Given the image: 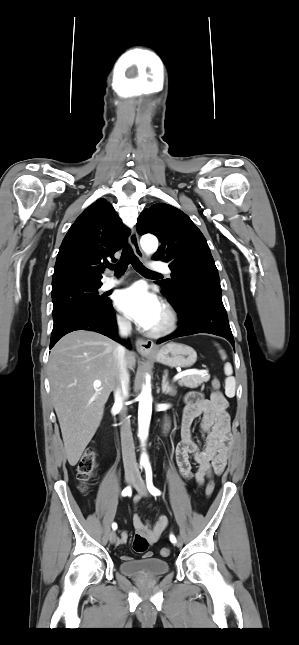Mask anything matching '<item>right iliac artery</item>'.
<instances>
[{
    "mask_svg": "<svg viewBox=\"0 0 299 645\" xmlns=\"http://www.w3.org/2000/svg\"><path fill=\"white\" fill-rule=\"evenodd\" d=\"M131 493H132L131 487L128 486L122 491V496H127V495L130 496ZM112 528H113V530H116L117 529V524L113 523Z\"/></svg>",
    "mask_w": 299,
    "mask_h": 645,
    "instance_id": "1",
    "label": "right iliac artery"
}]
</instances>
